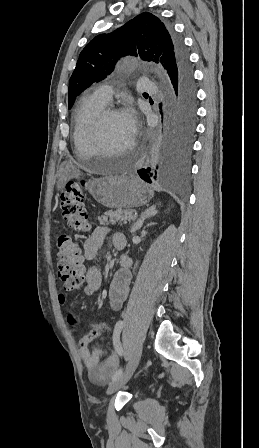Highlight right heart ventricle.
<instances>
[{
    "mask_svg": "<svg viewBox=\"0 0 259 448\" xmlns=\"http://www.w3.org/2000/svg\"><path fill=\"white\" fill-rule=\"evenodd\" d=\"M107 103L99 100L94 90L88 91L82 98L80 107L75 115L73 126V146L82 150L91 149L87 140L95 116L106 106Z\"/></svg>",
    "mask_w": 259,
    "mask_h": 448,
    "instance_id": "obj_1",
    "label": "right heart ventricle"
}]
</instances>
